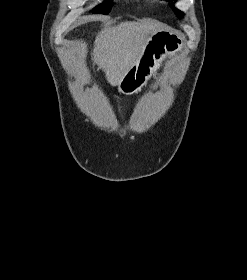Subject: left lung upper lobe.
Wrapping results in <instances>:
<instances>
[{
	"label": "left lung upper lobe",
	"instance_id": "obj_1",
	"mask_svg": "<svg viewBox=\"0 0 247 280\" xmlns=\"http://www.w3.org/2000/svg\"><path fill=\"white\" fill-rule=\"evenodd\" d=\"M168 1H173V0H168ZM175 1V0H174ZM175 14L177 15V17H182V12H180L178 9L173 8Z\"/></svg>",
	"mask_w": 247,
	"mask_h": 280
}]
</instances>
